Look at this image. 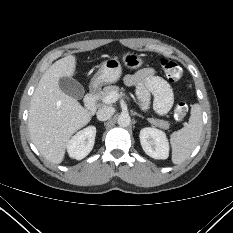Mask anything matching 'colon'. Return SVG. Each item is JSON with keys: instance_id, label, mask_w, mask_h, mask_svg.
Segmentation results:
<instances>
[{"instance_id": "colon-1", "label": "colon", "mask_w": 233, "mask_h": 233, "mask_svg": "<svg viewBox=\"0 0 233 233\" xmlns=\"http://www.w3.org/2000/svg\"><path fill=\"white\" fill-rule=\"evenodd\" d=\"M160 65L171 82H178L182 77V68L178 63L167 58H163L160 61ZM188 106L185 102H179L175 106L174 117L176 121H181L187 115Z\"/></svg>"}]
</instances>
